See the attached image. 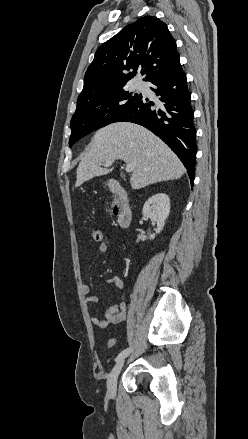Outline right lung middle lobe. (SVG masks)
<instances>
[{
  "label": "right lung middle lobe",
  "mask_w": 248,
  "mask_h": 439,
  "mask_svg": "<svg viewBox=\"0 0 248 439\" xmlns=\"http://www.w3.org/2000/svg\"><path fill=\"white\" fill-rule=\"evenodd\" d=\"M141 98V94L120 88L78 106L71 119L69 146L101 127L118 122Z\"/></svg>",
  "instance_id": "right-lung-middle-lobe-1"
}]
</instances>
